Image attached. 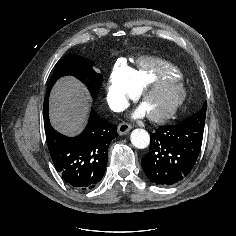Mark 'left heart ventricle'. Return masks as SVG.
Segmentation results:
<instances>
[{"label": "left heart ventricle", "instance_id": "1", "mask_svg": "<svg viewBox=\"0 0 236 236\" xmlns=\"http://www.w3.org/2000/svg\"><path fill=\"white\" fill-rule=\"evenodd\" d=\"M173 95H174V91L170 87L168 86L160 87L154 90L153 92H151L145 98L143 107L149 113L161 112L164 109H166Z\"/></svg>", "mask_w": 236, "mask_h": 236}]
</instances>
